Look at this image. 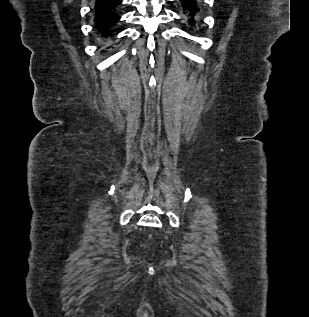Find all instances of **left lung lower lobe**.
<instances>
[{
  "label": "left lung lower lobe",
  "instance_id": "left-lung-lower-lobe-1",
  "mask_svg": "<svg viewBox=\"0 0 309 317\" xmlns=\"http://www.w3.org/2000/svg\"><path fill=\"white\" fill-rule=\"evenodd\" d=\"M181 13L190 26L201 24L203 5L201 0H179Z\"/></svg>",
  "mask_w": 309,
  "mask_h": 317
}]
</instances>
